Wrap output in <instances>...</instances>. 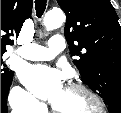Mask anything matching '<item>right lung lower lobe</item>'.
<instances>
[{
  "mask_svg": "<svg viewBox=\"0 0 121 113\" xmlns=\"http://www.w3.org/2000/svg\"><path fill=\"white\" fill-rule=\"evenodd\" d=\"M11 83H12V80L8 82L1 81V113H7L8 111L6 99L9 93Z\"/></svg>",
  "mask_w": 121,
  "mask_h": 113,
  "instance_id": "98d812e1",
  "label": "right lung lower lobe"
}]
</instances>
